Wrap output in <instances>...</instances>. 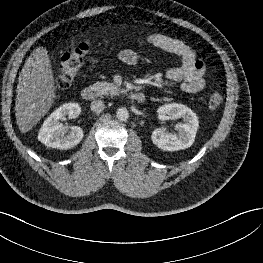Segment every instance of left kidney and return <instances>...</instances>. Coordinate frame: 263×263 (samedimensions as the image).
I'll return each instance as SVG.
<instances>
[{"label":"left kidney","mask_w":263,"mask_h":263,"mask_svg":"<svg viewBox=\"0 0 263 263\" xmlns=\"http://www.w3.org/2000/svg\"><path fill=\"white\" fill-rule=\"evenodd\" d=\"M162 116L173 119H183V123H178L175 127L177 134L168 133L165 129L157 128L152 133V142L164 151H178L189 148L195 139L199 121L196 113L185 105L171 103L165 104L158 109Z\"/></svg>","instance_id":"5707ae66"}]
</instances>
